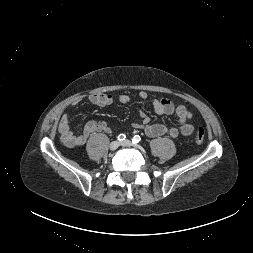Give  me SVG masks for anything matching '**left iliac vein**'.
<instances>
[{"label": "left iliac vein", "mask_w": 253, "mask_h": 253, "mask_svg": "<svg viewBox=\"0 0 253 253\" xmlns=\"http://www.w3.org/2000/svg\"><path fill=\"white\" fill-rule=\"evenodd\" d=\"M121 145H122V146H125V147H130V146H132L133 144H132V142H131L130 140H125V141H122V142H121Z\"/></svg>", "instance_id": "1"}]
</instances>
